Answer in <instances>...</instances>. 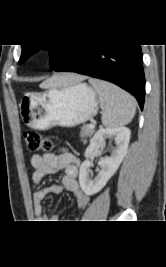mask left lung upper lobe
Returning <instances> with one entry per match:
<instances>
[{
  "label": "left lung upper lobe",
  "instance_id": "1",
  "mask_svg": "<svg viewBox=\"0 0 166 267\" xmlns=\"http://www.w3.org/2000/svg\"><path fill=\"white\" fill-rule=\"evenodd\" d=\"M21 46H22V54L19 63H23L24 61H26L42 45H21ZM47 46H50V53L52 56L51 66L53 68L60 60L66 45L64 44V45H47Z\"/></svg>",
  "mask_w": 166,
  "mask_h": 267
}]
</instances>
